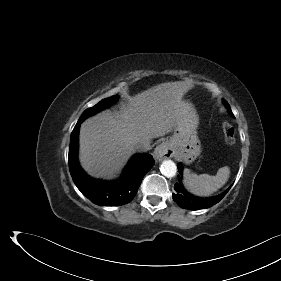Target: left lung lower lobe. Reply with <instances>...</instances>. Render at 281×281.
I'll return each instance as SVG.
<instances>
[{"mask_svg": "<svg viewBox=\"0 0 281 281\" xmlns=\"http://www.w3.org/2000/svg\"><path fill=\"white\" fill-rule=\"evenodd\" d=\"M178 170L180 173H182L181 164H178ZM174 189L176 192L173 194V200L180 207H182L183 209L198 210V209L209 208L214 204L218 203L226 195V193L229 191L230 188H228L225 192L215 197L198 198L186 192V190L183 188L181 184V179L179 177V182L175 184Z\"/></svg>", "mask_w": 281, "mask_h": 281, "instance_id": "0a47b994", "label": "left lung lower lobe"}]
</instances>
